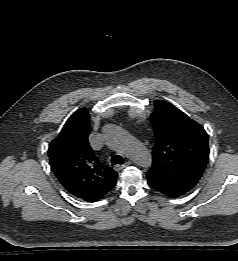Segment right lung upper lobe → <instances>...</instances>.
Returning a JSON list of instances; mask_svg holds the SVG:
<instances>
[{"instance_id":"cb5924a9","label":"right lung upper lobe","mask_w":238,"mask_h":261,"mask_svg":"<svg viewBox=\"0 0 238 261\" xmlns=\"http://www.w3.org/2000/svg\"><path fill=\"white\" fill-rule=\"evenodd\" d=\"M89 113L78 109L48 150L51 168L63 187L87 202L102 198L116 184L117 172L103 165L89 145Z\"/></svg>"}]
</instances>
